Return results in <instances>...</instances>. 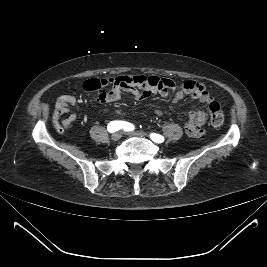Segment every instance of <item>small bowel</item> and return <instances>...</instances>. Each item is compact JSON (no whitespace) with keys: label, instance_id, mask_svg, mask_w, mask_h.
<instances>
[{"label":"small bowel","instance_id":"obj_1","mask_svg":"<svg viewBox=\"0 0 267 267\" xmlns=\"http://www.w3.org/2000/svg\"><path fill=\"white\" fill-rule=\"evenodd\" d=\"M147 79L158 82L159 86L155 89L147 85ZM110 87L109 90H106ZM83 88L92 94L95 101L101 103H112L120 99L122 93L129 92L138 99L147 98L155 93H159L163 97L169 95L170 90H177L173 102H178L185 95H191L192 98L203 104H210L213 98L206 91L204 85L198 81L188 80L182 83H176L173 80L158 78L155 76L143 75H121L111 78L103 79H89L84 82ZM77 100L72 95H63L57 101L54 110V117L59 118L68 114L69 107L75 106ZM158 115L161 111L157 110ZM208 115L203 110L193 109L189 112L188 116L182 119L186 133L193 138H200L204 135L205 131L203 126L207 121ZM77 120V114L71 112L63 120V126L68 127Z\"/></svg>","mask_w":267,"mask_h":267}]
</instances>
